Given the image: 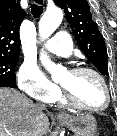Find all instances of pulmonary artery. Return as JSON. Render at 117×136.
Returning <instances> with one entry per match:
<instances>
[{
  "mask_svg": "<svg viewBox=\"0 0 117 136\" xmlns=\"http://www.w3.org/2000/svg\"><path fill=\"white\" fill-rule=\"evenodd\" d=\"M45 47L48 51L54 54L67 57L72 53L73 43L66 31L59 30L54 37L45 44Z\"/></svg>",
  "mask_w": 117,
  "mask_h": 136,
  "instance_id": "pulmonary-artery-1",
  "label": "pulmonary artery"
}]
</instances>
